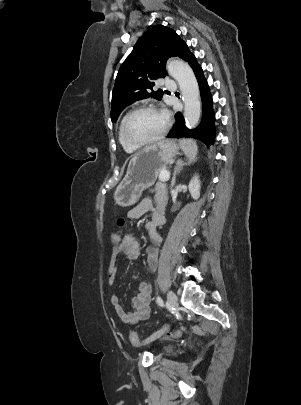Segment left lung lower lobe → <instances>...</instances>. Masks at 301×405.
<instances>
[{
    "label": "left lung lower lobe",
    "mask_w": 301,
    "mask_h": 405,
    "mask_svg": "<svg viewBox=\"0 0 301 405\" xmlns=\"http://www.w3.org/2000/svg\"><path fill=\"white\" fill-rule=\"evenodd\" d=\"M187 62L192 67L199 84L203 106L202 121L198 128L189 130L185 126L183 115L178 112L175 114L176 123L167 135V138H195L201 140L209 147L215 141V114L212 107V96L203 75V70L197 63L196 57L191 54Z\"/></svg>",
    "instance_id": "0a47b994"
}]
</instances>
